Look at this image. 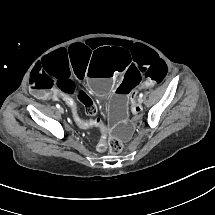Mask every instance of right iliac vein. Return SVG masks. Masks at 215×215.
<instances>
[{"mask_svg": "<svg viewBox=\"0 0 215 215\" xmlns=\"http://www.w3.org/2000/svg\"><path fill=\"white\" fill-rule=\"evenodd\" d=\"M59 112H60V113H64V109L60 107V108H59Z\"/></svg>", "mask_w": 215, "mask_h": 215, "instance_id": "right-iliac-vein-1", "label": "right iliac vein"}]
</instances>
